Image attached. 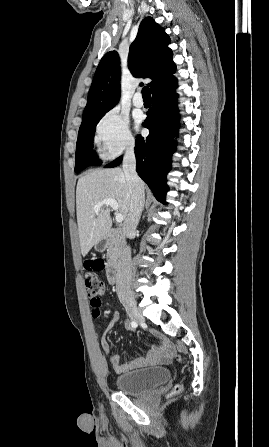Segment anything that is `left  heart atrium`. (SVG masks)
<instances>
[{
  "label": "left heart atrium",
  "instance_id": "obj_1",
  "mask_svg": "<svg viewBox=\"0 0 269 447\" xmlns=\"http://www.w3.org/2000/svg\"><path fill=\"white\" fill-rule=\"evenodd\" d=\"M142 120H143V116L141 114L138 115L137 118H136V122L139 124V123L142 122Z\"/></svg>",
  "mask_w": 269,
  "mask_h": 447
}]
</instances>
